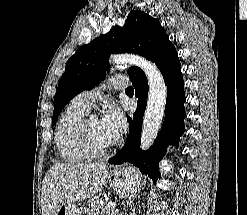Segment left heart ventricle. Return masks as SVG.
<instances>
[{
	"label": "left heart ventricle",
	"mask_w": 247,
	"mask_h": 215,
	"mask_svg": "<svg viewBox=\"0 0 247 215\" xmlns=\"http://www.w3.org/2000/svg\"><path fill=\"white\" fill-rule=\"evenodd\" d=\"M88 129L97 145L105 147L112 144L105 135L99 120L90 119L88 122Z\"/></svg>",
	"instance_id": "1"
}]
</instances>
